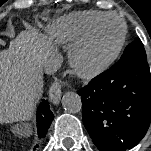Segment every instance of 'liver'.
<instances>
[{
    "mask_svg": "<svg viewBox=\"0 0 151 151\" xmlns=\"http://www.w3.org/2000/svg\"><path fill=\"white\" fill-rule=\"evenodd\" d=\"M54 36L56 41L65 40V35ZM52 54H57L52 37L35 29L21 31L0 52V123L32 116L43 89L42 62Z\"/></svg>",
    "mask_w": 151,
    "mask_h": 151,
    "instance_id": "obj_1",
    "label": "liver"
}]
</instances>
